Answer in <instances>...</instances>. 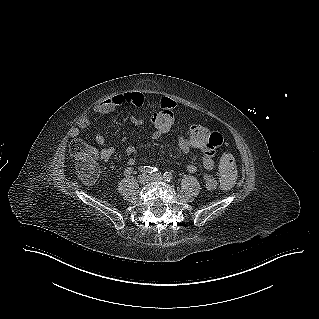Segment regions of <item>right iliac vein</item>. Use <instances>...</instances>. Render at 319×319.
<instances>
[{
	"label": "right iliac vein",
	"instance_id": "63e3f726",
	"mask_svg": "<svg viewBox=\"0 0 319 319\" xmlns=\"http://www.w3.org/2000/svg\"><path fill=\"white\" fill-rule=\"evenodd\" d=\"M150 181V177L146 174H142L138 177V182L141 184V185H145L147 184L148 182Z\"/></svg>",
	"mask_w": 319,
	"mask_h": 319
}]
</instances>
